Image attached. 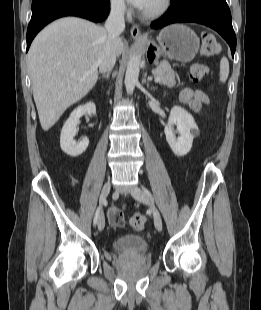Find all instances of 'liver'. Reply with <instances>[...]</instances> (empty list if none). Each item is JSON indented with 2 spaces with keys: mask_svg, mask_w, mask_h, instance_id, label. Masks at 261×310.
Returning a JSON list of instances; mask_svg holds the SVG:
<instances>
[{
  "mask_svg": "<svg viewBox=\"0 0 261 310\" xmlns=\"http://www.w3.org/2000/svg\"><path fill=\"white\" fill-rule=\"evenodd\" d=\"M106 41L104 27L77 17L58 19L35 37L27 55L28 70L44 131L95 86ZM114 48L116 56L123 53L122 39Z\"/></svg>",
  "mask_w": 261,
  "mask_h": 310,
  "instance_id": "obj_1",
  "label": "liver"
}]
</instances>
